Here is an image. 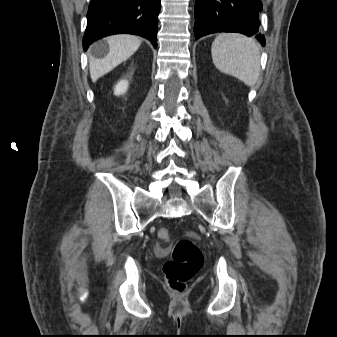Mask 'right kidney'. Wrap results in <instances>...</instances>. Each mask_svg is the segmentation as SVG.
<instances>
[{
	"label": "right kidney",
	"mask_w": 337,
	"mask_h": 337,
	"mask_svg": "<svg viewBox=\"0 0 337 337\" xmlns=\"http://www.w3.org/2000/svg\"><path fill=\"white\" fill-rule=\"evenodd\" d=\"M127 89H128V81L121 80L115 86L114 94L117 95V96L123 95V94L126 93Z\"/></svg>",
	"instance_id": "right-kidney-1"
}]
</instances>
